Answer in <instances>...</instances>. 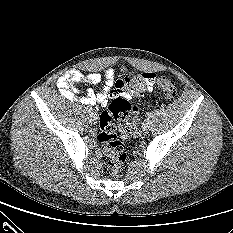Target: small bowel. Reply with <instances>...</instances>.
<instances>
[{
	"label": "small bowel",
	"mask_w": 233,
	"mask_h": 233,
	"mask_svg": "<svg viewBox=\"0 0 233 233\" xmlns=\"http://www.w3.org/2000/svg\"><path fill=\"white\" fill-rule=\"evenodd\" d=\"M122 72H126L124 67H120ZM144 85L142 90L151 92L153 90L155 75L151 72L143 73ZM131 76L125 75L122 79L116 80L115 70L108 68L104 71V77L97 72L87 75L80 70L70 69L63 73L57 80V86L60 93L69 101H77L78 95L82 94L80 101L86 105L102 104L112 94H120L127 99L132 98L133 94L129 91L127 85ZM82 82L91 85L103 83L98 91L88 88L84 91L80 90L78 85Z\"/></svg>",
	"instance_id": "small-bowel-1"
}]
</instances>
